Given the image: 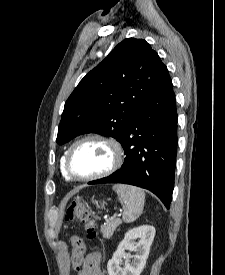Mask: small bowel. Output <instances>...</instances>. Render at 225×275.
Segmentation results:
<instances>
[{
    "instance_id": "small-bowel-1",
    "label": "small bowel",
    "mask_w": 225,
    "mask_h": 275,
    "mask_svg": "<svg viewBox=\"0 0 225 275\" xmlns=\"http://www.w3.org/2000/svg\"><path fill=\"white\" fill-rule=\"evenodd\" d=\"M77 275H105L100 265V256L97 254L87 255Z\"/></svg>"
}]
</instances>
